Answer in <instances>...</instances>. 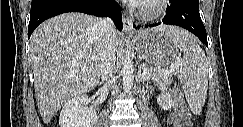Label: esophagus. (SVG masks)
Here are the masks:
<instances>
[{
    "label": "esophagus",
    "mask_w": 243,
    "mask_h": 127,
    "mask_svg": "<svg viewBox=\"0 0 243 127\" xmlns=\"http://www.w3.org/2000/svg\"><path fill=\"white\" fill-rule=\"evenodd\" d=\"M123 19V29L127 34H133L134 30H133V20L130 16H128L127 14H123L122 16Z\"/></svg>",
    "instance_id": "34e87169"
}]
</instances>
